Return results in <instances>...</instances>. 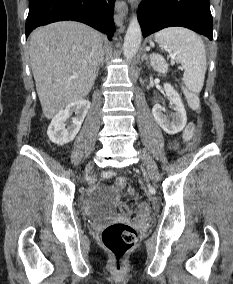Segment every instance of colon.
I'll list each match as a JSON object with an SVG mask.
<instances>
[{"instance_id":"5ec220e1","label":"colon","mask_w":233,"mask_h":284,"mask_svg":"<svg viewBox=\"0 0 233 284\" xmlns=\"http://www.w3.org/2000/svg\"><path fill=\"white\" fill-rule=\"evenodd\" d=\"M151 64L153 68L160 73H165L167 71V63L160 55H152ZM184 93L189 106L195 111L199 110L201 103L198 95L187 89H184ZM183 139L185 143L190 146H193L198 142L199 135L193 125L186 126L183 131ZM103 178L106 180L114 179L116 186L119 189H123L126 186V179L123 176H117L114 171L104 172ZM137 211L139 217L144 219L149 215V206L144 202H140L137 205ZM101 240L103 246L113 256L116 270H121L126 255L134 247L137 241V231L131 225L122 222H114L103 229Z\"/></svg>"}]
</instances>
